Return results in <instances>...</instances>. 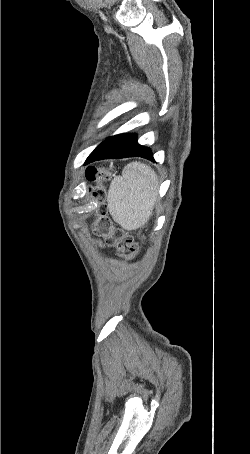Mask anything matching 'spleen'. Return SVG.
<instances>
[{
	"label": "spleen",
	"instance_id": "1",
	"mask_svg": "<svg viewBox=\"0 0 250 454\" xmlns=\"http://www.w3.org/2000/svg\"><path fill=\"white\" fill-rule=\"evenodd\" d=\"M157 175L147 165L132 162L115 177L108 192V208L114 221L125 230L143 227L157 199Z\"/></svg>",
	"mask_w": 250,
	"mask_h": 454
}]
</instances>
